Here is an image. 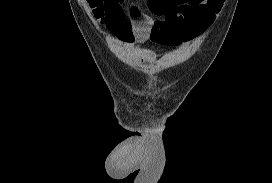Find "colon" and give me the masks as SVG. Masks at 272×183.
Masks as SVG:
<instances>
[{
	"instance_id": "obj_1",
	"label": "colon",
	"mask_w": 272,
	"mask_h": 183,
	"mask_svg": "<svg viewBox=\"0 0 272 183\" xmlns=\"http://www.w3.org/2000/svg\"><path fill=\"white\" fill-rule=\"evenodd\" d=\"M87 2L89 6L92 8L95 16L104 21L102 16H103V8H104L106 0H87Z\"/></svg>"
}]
</instances>
